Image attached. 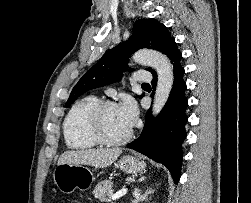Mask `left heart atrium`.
<instances>
[{"label": "left heart atrium", "instance_id": "1", "mask_svg": "<svg viewBox=\"0 0 251 203\" xmlns=\"http://www.w3.org/2000/svg\"><path fill=\"white\" fill-rule=\"evenodd\" d=\"M117 107L124 122L131 128L137 120L138 110L136 103L132 98L125 97Z\"/></svg>", "mask_w": 251, "mask_h": 203}]
</instances>
